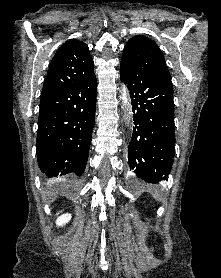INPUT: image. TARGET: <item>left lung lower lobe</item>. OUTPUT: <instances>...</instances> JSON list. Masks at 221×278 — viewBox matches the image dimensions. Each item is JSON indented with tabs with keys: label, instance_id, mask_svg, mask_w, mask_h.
I'll list each match as a JSON object with an SVG mask.
<instances>
[{
	"label": "left lung lower lobe",
	"instance_id": "1",
	"mask_svg": "<svg viewBox=\"0 0 221 278\" xmlns=\"http://www.w3.org/2000/svg\"><path fill=\"white\" fill-rule=\"evenodd\" d=\"M130 91L133 134L128 146L130 169L138 178L157 183L168 180L175 154L173 85L160 75H143L121 68Z\"/></svg>",
	"mask_w": 221,
	"mask_h": 278
}]
</instances>
